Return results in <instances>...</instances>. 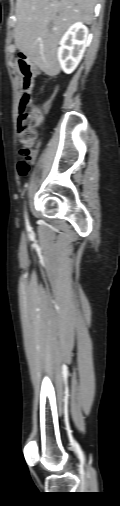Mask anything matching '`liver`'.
<instances>
[{"label":"liver","mask_w":120,"mask_h":506,"mask_svg":"<svg viewBox=\"0 0 120 506\" xmlns=\"http://www.w3.org/2000/svg\"><path fill=\"white\" fill-rule=\"evenodd\" d=\"M97 0H17L15 44L49 75L60 71L57 47L74 22L91 24Z\"/></svg>","instance_id":"liver-1"}]
</instances>
